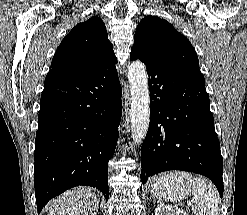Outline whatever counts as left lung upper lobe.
Masks as SVG:
<instances>
[{
	"instance_id": "5c2ea615",
	"label": "left lung upper lobe",
	"mask_w": 247,
	"mask_h": 215,
	"mask_svg": "<svg viewBox=\"0 0 247 215\" xmlns=\"http://www.w3.org/2000/svg\"><path fill=\"white\" fill-rule=\"evenodd\" d=\"M131 52L163 66L189 70L202 75L198 56L189 40L166 20L144 17L135 32Z\"/></svg>"
}]
</instances>
